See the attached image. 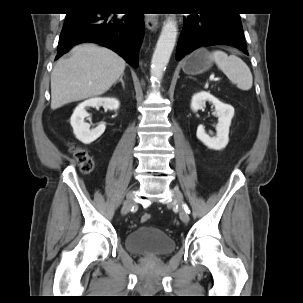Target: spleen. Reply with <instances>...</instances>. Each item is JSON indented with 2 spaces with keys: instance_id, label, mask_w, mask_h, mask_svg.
Wrapping results in <instances>:
<instances>
[{
  "instance_id": "1",
  "label": "spleen",
  "mask_w": 303,
  "mask_h": 303,
  "mask_svg": "<svg viewBox=\"0 0 303 303\" xmlns=\"http://www.w3.org/2000/svg\"><path fill=\"white\" fill-rule=\"evenodd\" d=\"M217 67L236 84L241 90H249L253 84V77L247 64L236 55H227V53L216 50L210 55Z\"/></svg>"
}]
</instances>
